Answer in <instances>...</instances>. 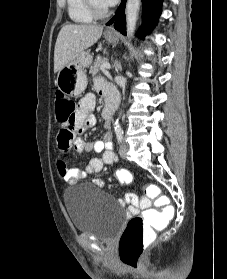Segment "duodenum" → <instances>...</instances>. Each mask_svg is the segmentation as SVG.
<instances>
[{"label":"duodenum","mask_w":227,"mask_h":279,"mask_svg":"<svg viewBox=\"0 0 227 279\" xmlns=\"http://www.w3.org/2000/svg\"><path fill=\"white\" fill-rule=\"evenodd\" d=\"M116 109V101L108 100L103 108V117L110 119Z\"/></svg>","instance_id":"duodenum-1"}]
</instances>
